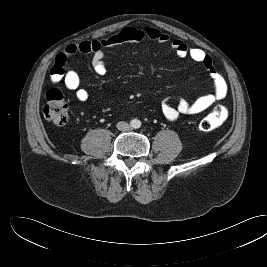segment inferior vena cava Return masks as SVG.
I'll use <instances>...</instances> for the list:
<instances>
[{
	"label": "inferior vena cava",
	"mask_w": 267,
	"mask_h": 267,
	"mask_svg": "<svg viewBox=\"0 0 267 267\" xmlns=\"http://www.w3.org/2000/svg\"><path fill=\"white\" fill-rule=\"evenodd\" d=\"M117 129L120 130V131H127L130 129V126L127 122H124V121H120L117 123L116 125Z\"/></svg>",
	"instance_id": "602c4592"
}]
</instances>
